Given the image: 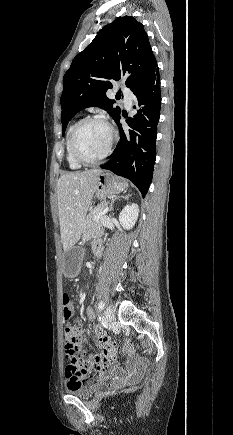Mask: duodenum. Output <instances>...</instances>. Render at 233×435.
Returning a JSON list of instances; mask_svg holds the SVG:
<instances>
[{
	"instance_id": "obj_1",
	"label": "duodenum",
	"mask_w": 233,
	"mask_h": 435,
	"mask_svg": "<svg viewBox=\"0 0 233 435\" xmlns=\"http://www.w3.org/2000/svg\"><path fill=\"white\" fill-rule=\"evenodd\" d=\"M94 251H95V252H98V248H97V246H95V249H94Z\"/></svg>"
}]
</instances>
